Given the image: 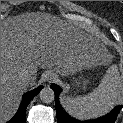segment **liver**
I'll return each instance as SVG.
<instances>
[{"label": "liver", "instance_id": "liver-1", "mask_svg": "<svg viewBox=\"0 0 123 123\" xmlns=\"http://www.w3.org/2000/svg\"><path fill=\"white\" fill-rule=\"evenodd\" d=\"M104 50L93 35L45 13H25L1 22V123L16 113L23 93L35 85L38 68L68 76L94 65ZM28 72L30 80L21 74Z\"/></svg>", "mask_w": 123, "mask_h": 123}]
</instances>
